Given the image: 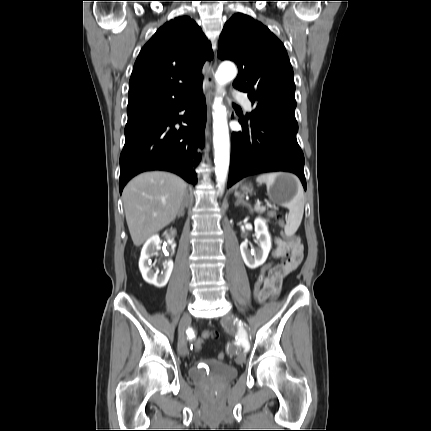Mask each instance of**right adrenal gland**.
Listing matches in <instances>:
<instances>
[{
  "label": "right adrenal gland",
  "mask_w": 431,
  "mask_h": 431,
  "mask_svg": "<svg viewBox=\"0 0 431 431\" xmlns=\"http://www.w3.org/2000/svg\"><path fill=\"white\" fill-rule=\"evenodd\" d=\"M188 197H189L188 192H186V194H185V196H184L183 203H182V205H181V208H180V211H179V214H178V217H180V216H183V215H184V209H185V207H187V206H188Z\"/></svg>",
  "instance_id": "obj_1"
}]
</instances>
